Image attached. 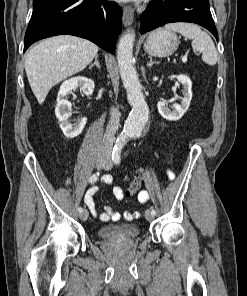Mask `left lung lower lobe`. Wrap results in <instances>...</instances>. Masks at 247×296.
I'll return each instance as SVG.
<instances>
[{"label":"left lung lower lobe","mask_w":247,"mask_h":296,"mask_svg":"<svg viewBox=\"0 0 247 296\" xmlns=\"http://www.w3.org/2000/svg\"><path fill=\"white\" fill-rule=\"evenodd\" d=\"M172 22H190L208 29L218 41L209 0H152L143 12L140 33Z\"/></svg>","instance_id":"0a47b994"}]
</instances>
